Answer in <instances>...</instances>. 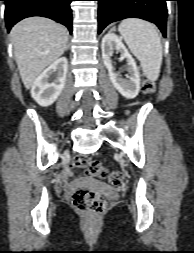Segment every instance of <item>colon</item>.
<instances>
[{"mask_svg": "<svg viewBox=\"0 0 194 253\" xmlns=\"http://www.w3.org/2000/svg\"><path fill=\"white\" fill-rule=\"evenodd\" d=\"M156 90L154 82L145 79L142 82V91L145 94H153ZM127 122H132V117H127ZM74 163L78 167H86L89 176L107 179L110 184L118 185L122 181V174L119 171H109L102 163L92 161L85 155L75 157ZM73 206L82 212L99 214L106 208L105 199L98 193L89 189L77 190L72 198Z\"/></svg>", "mask_w": 194, "mask_h": 253, "instance_id": "colon-1", "label": "colon"}]
</instances>
